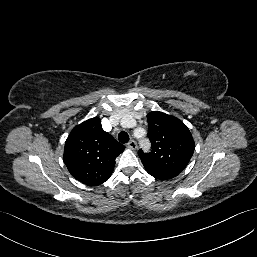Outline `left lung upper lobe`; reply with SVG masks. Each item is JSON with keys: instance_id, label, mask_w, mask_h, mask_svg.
<instances>
[{"instance_id": "1", "label": "left lung upper lobe", "mask_w": 257, "mask_h": 257, "mask_svg": "<svg viewBox=\"0 0 257 257\" xmlns=\"http://www.w3.org/2000/svg\"><path fill=\"white\" fill-rule=\"evenodd\" d=\"M152 150L139 157L146 171L161 180L177 176L189 163L195 148L187 126L179 119L159 111L147 115Z\"/></svg>"}]
</instances>
